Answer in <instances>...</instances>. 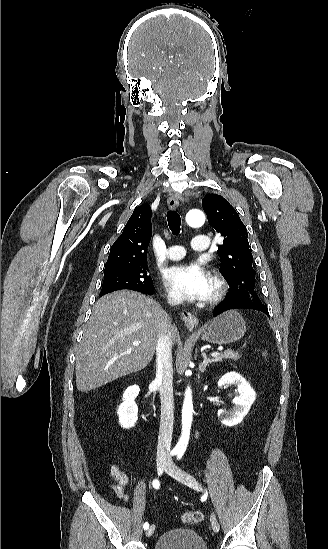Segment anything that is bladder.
<instances>
[{"instance_id": "bladder-1", "label": "bladder", "mask_w": 328, "mask_h": 549, "mask_svg": "<svg viewBox=\"0 0 328 549\" xmlns=\"http://www.w3.org/2000/svg\"><path fill=\"white\" fill-rule=\"evenodd\" d=\"M154 549H208L205 541L196 532L175 529L164 532Z\"/></svg>"}]
</instances>
